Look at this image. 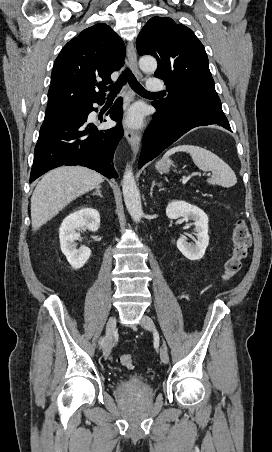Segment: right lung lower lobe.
Instances as JSON below:
<instances>
[{"mask_svg": "<svg viewBox=\"0 0 272 452\" xmlns=\"http://www.w3.org/2000/svg\"><path fill=\"white\" fill-rule=\"evenodd\" d=\"M103 102L104 99L95 103ZM92 105L89 103L68 113L45 115L35 147L30 183L62 165L86 166L107 178H118L113 156L123 137L121 99L108 113L118 125L108 130H98L95 123L87 121L88 114L95 110Z\"/></svg>", "mask_w": 272, "mask_h": 452, "instance_id": "obj_1", "label": "right lung lower lobe"}]
</instances>
